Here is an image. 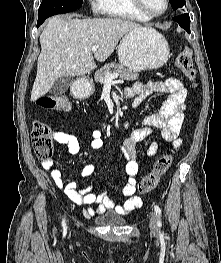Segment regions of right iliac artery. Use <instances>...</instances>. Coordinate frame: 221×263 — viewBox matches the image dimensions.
<instances>
[{"instance_id": "right-iliac-artery-1", "label": "right iliac artery", "mask_w": 221, "mask_h": 263, "mask_svg": "<svg viewBox=\"0 0 221 263\" xmlns=\"http://www.w3.org/2000/svg\"><path fill=\"white\" fill-rule=\"evenodd\" d=\"M62 225L65 226V221L63 220Z\"/></svg>"}]
</instances>
